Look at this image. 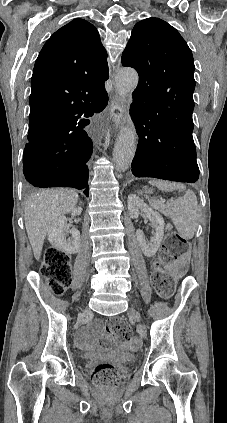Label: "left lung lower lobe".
Listing matches in <instances>:
<instances>
[{
  "label": "left lung lower lobe",
  "instance_id": "0a47b994",
  "mask_svg": "<svg viewBox=\"0 0 227 423\" xmlns=\"http://www.w3.org/2000/svg\"><path fill=\"white\" fill-rule=\"evenodd\" d=\"M139 143L132 161L136 177L195 182L199 177L192 112L150 111L131 106Z\"/></svg>",
  "mask_w": 227,
  "mask_h": 423
}]
</instances>
